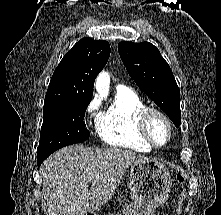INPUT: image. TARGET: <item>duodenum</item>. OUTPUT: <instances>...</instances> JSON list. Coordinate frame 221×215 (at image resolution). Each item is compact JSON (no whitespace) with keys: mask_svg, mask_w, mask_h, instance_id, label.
Wrapping results in <instances>:
<instances>
[{"mask_svg":"<svg viewBox=\"0 0 221 215\" xmlns=\"http://www.w3.org/2000/svg\"><path fill=\"white\" fill-rule=\"evenodd\" d=\"M85 215H94V213L90 211V212H87Z\"/></svg>","mask_w":221,"mask_h":215,"instance_id":"1","label":"duodenum"}]
</instances>
